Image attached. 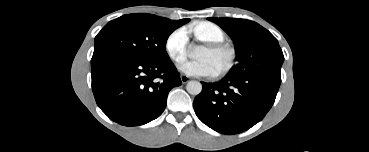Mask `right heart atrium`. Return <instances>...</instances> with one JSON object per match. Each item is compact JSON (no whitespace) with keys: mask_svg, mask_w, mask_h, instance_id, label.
<instances>
[{"mask_svg":"<svg viewBox=\"0 0 369 152\" xmlns=\"http://www.w3.org/2000/svg\"><path fill=\"white\" fill-rule=\"evenodd\" d=\"M188 35L184 28L174 30L166 39L165 50L173 62H181L187 55Z\"/></svg>","mask_w":369,"mask_h":152,"instance_id":"right-heart-atrium-1","label":"right heart atrium"}]
</instances>
